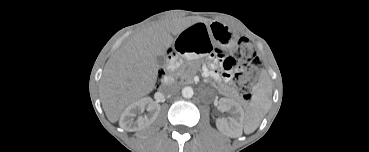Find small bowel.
Masks as SVG:
<instances>
[{
    "mask_svg": "<svg viewBox=\"0 0 369 152\" xmlns=\"http://www.w3.org/2000/svg\"><path fill=\"white\" fill-rule=\"evenodd\" d=\"M207 74H211V72H208V71H207Z\"/></svg>",
    "mask_w": 369,
    "mask_h": 152,
    "instance_id": "obj_1",
    "label": "small bowel"
}]
</instances>
